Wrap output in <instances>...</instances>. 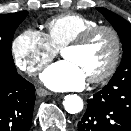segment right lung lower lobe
Masks as SVG:
<instances>
[{
    "instance_id": "1",
    "label": "right lung lower lobe",
    "mask_w": 131,
    "mask_h": 131,
    "mask_svg": "<svg viewBox=\"0 0 131 131\" xmlns=\"http://www.w3.org/2000/svg\"><path fill=\"white\" fill-rule=\"evenodd\" d=\"M35 103L34 85L14 63L0 62V131H28Z\"/></svg>"
}]
</instances>
